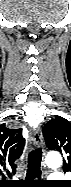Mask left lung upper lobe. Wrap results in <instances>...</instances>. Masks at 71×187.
Instances as JSON below:
<instances>
[{"mask_svg": "<svg viewBox=\"0 0 71 187\" xmlns=\"http://www.w3.org/2000/svg\"><path fill=\"white\" fill-rule=\"evenodd\" d=\"M43 135L48 149L64 155L63 170L71 169V122L63 118L50 120L43 127Z\"/></svg>", "mask_w": 71, "mask_h": 187, "instance_id": "left-lung-upper-lobe-1", "label": "left lung upper lobe"}]
</instances>
